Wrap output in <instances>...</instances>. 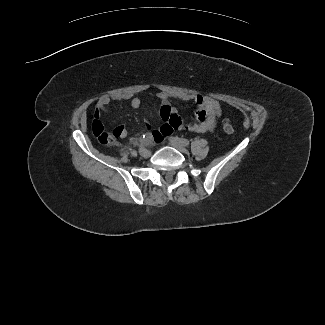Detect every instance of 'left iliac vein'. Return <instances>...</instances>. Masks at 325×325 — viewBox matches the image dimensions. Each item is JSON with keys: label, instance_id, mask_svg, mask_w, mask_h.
Masks as SVG:
<instances>
[{"label": "left iliac vein", "instance_id": "4c4485c4", "mask_svg": "<svg viewBox=\"0 0 325 325\" xmlns=\"http://www.w3.org/2000/svg\"><path fill=\"white\" fill-rule=\"evenodd\" d=\"M169 144L171 146H173L174 148H176L177 150H179L180 152H186L187 149L185 148V146H183L182 144L176 142L173 138H170L169 140Z\"/></svg>", "mask_w": 325, "mask_h": 325}]
</instances>
